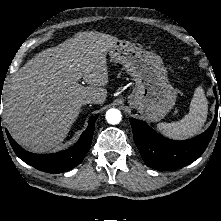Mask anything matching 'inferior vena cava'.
I'll return each mask as SVG.
<instances>
[{
	"instance_id": "obj_1",
	"label": "inferior vena cava",
	"mask_w": 221,
	"mask_h": 221,
	"mask_svg": "<svg viewBox=\"0 0 221 221\" xmlns=\"http://www.w3.org/2000/svg\"><path fill=\"white\" fill-rule=\"evenodd\" d=\"M83 104H91V103H96V100L94 99H85L82 102Z\"/></svg>"
}]
</instances>
